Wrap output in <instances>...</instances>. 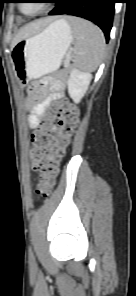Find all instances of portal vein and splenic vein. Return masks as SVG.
<instances>
[{"label":"portal vein and splenic vein","instance_id":"1","mask_svg":"<svg viewBox=\"0 0 136 296\" xmlns=\"http://www.w3.org/2000/svg\"><path fill=\"white\" fill-rule=\"evenodd\" d=\"M68 64H69V61L66 62V65H68Z\"/></svg>","mask_w":136,"mask_h":296}]
</instances>
